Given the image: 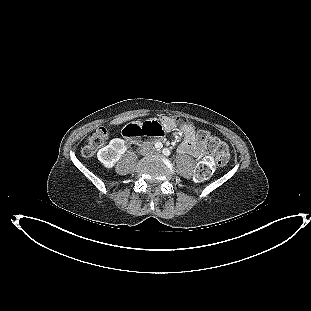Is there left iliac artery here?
Segmentation results:
<instances>
[{
    "mask_svg": "<svg viewBox=\"0 0 311 311\" xmlns=\"http://www.w3.org/2000/svg\"><path fill=\"white\" fill-rule=\"evenodd\" d=\"M162 152H163V154H164L165 156H169V155H170V150L167 149V148H164Z\"/></svg>",
    "mask_w": 311,
    "mask_h": 311,
    "instance_id": "obj_1",
    "label": "left iliac artery"
}]
</instances>
